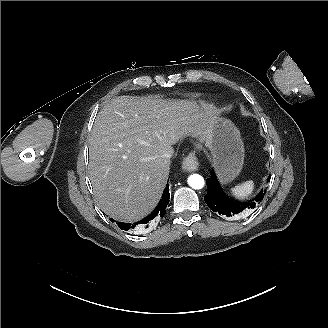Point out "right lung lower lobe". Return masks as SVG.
<instances>
[{"label": "right lung lower lobe", "instance_id": "98d812e1", "mask_svg": "<svg viewBox=\"0 0 328 328\" xmlns=\"http://www.w3.org/2000/svg\"><path fill=\"white\" fill-rule=\"evenodd\" d=\"M169 198H170V193H169V185H166V188L162 194V198L160 200V202L158 203L157 207L155 208V210L148 215L147 217H145L144 219H142L139 222L136 223H124V222H118V227L122 230H130V229H134L136 227L138 228H148L150 224L157 222L160 218H162L165 213H166V207L169 203Z\"/></svg>", "mask_w": 328, "mask_h": 328}]
</instances>
